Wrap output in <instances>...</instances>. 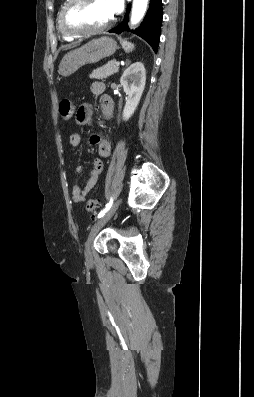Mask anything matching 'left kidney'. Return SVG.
Here are the masks:
<instances>
[{"mask_svg": "<svg viewBox=\"0 0 254 397\" xmlns=\"http://www.w3.org/2000/svg\"><path fill=\"white\" fill-rule=\"evenodd\" d=\"M120 83L127 95L123 109V120H128L135 112L146 83V72L143 63L131 64L121 76Z\"/></svg>", "mask_w": 254, "mask_h": 397, "instance_id": "5707ae66", "label": "left kidney"}]
</instances>
